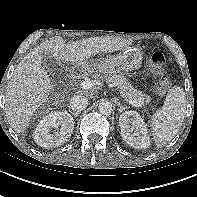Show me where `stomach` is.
Returning a JSON list of instances; mask_svg holds the SVG:
<instances>
[{
  "label": "stomach",
  "mask_w": 197,
  "mask_h": 197,
  "mask_svg": "<svg viewBox=\"0 0 197 197\" xmlns=\"http://www.w3.org/2000/svg\"><path fill=\"white\" fill-rule=\"evenodd\" d=\"M143 55L137 48L127 47L118 55L95 59L81 65V69L88 72L129 73L138 70L142 64Z\"/></svg>",
  "instance_id": "stomach-1"
}]
</instances>
